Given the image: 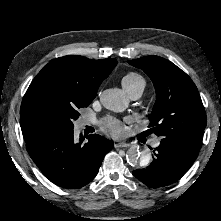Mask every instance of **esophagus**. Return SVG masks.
<instances>
[{"mask_svg":"<svg viewBox=\"0 0 221 221\" xmlns=\"http://www.w3.org/2000/svg\"><path fill=\"white\" fill-rule=\"evenodd\" d=\"M131 144L129 143H124V142H120V143H116L115 144V148H128L130 147Z\"/></svg>","mask_w":221,"mask_h":221,"instance_id":"1","label":"esophagus"}]
</instances>
